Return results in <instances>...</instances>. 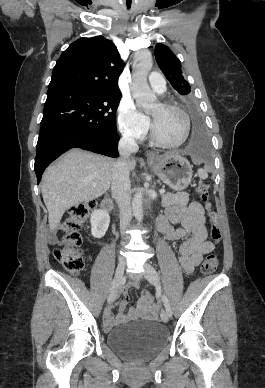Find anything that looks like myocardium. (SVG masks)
<instances>
[{
    "instance_id": "obj_1",
    "label": "myocardium",
    "mask_w": 265,
    "mask_h": 388,
    "mask_svg": "<svg viewBox=\"0 0 265 388\" xmlns=\"http://www.w3.org/2000/svg\"><path fill=\"white\" fill-rule=\"evenodd\" d=\"M163 91L162 90H157V94H162ZM163 108L165 109H168V110H173L175 112H177L178 114L181 115L182 119H183V128H182V134H181V137L178 141L176 142H169V141H166L165 139H163L158 130H157V127H156V122L154 120V118L152 119V137L154 139V141L162 146V147H165V148H176V147H179L181 146L182 144H184L186 142V140L188 139L189 137V132H190V119H189V116L188 114L179 106L175 105V104H172V103H161L160 104Z\"/></svg>"
}]
</instances>
